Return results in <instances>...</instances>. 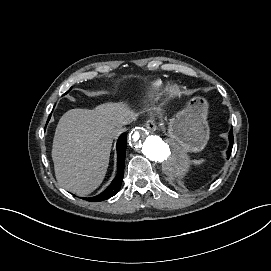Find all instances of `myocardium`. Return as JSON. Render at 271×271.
<instances>
[{
    "instance_id": "myocardium-1",
    "label": "myocardium",
    "mask_w": 271,
    "mask_h": 271,
    "mask_svg": "<svg viewBox=\"0 0 271 271\" xmlns=\"http://www.w3.org/2000/svg\"><path fill=\"white\" fill-rule=\"evenodd\" d=\"M180 92V86L179 85H172L169 88V93L171 95H177Z\"/></svg>"
}]
</instances>
